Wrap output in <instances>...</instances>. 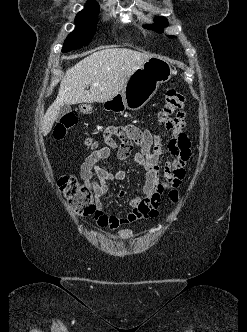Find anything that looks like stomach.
Returning a JSON list of instances; mask_svg holds the SVG:
<instances>
[{"instance_id": "obj_1", "label": "stomach", "mask_w": 247, "mask_h": 332, "mask_svg": "<svg viewBox=\"0 0 247 332\" xmlns=\"http://www.w3.org/2000/svg\"><path fill=\"white\" fill-rule=\"evenodd\" d=\"M172 73L166 60L153 56L132 73L119 94L103 105L111 111L139 110L155 95L159 85L171 78Z\"/></svg>"}]
</instances>
